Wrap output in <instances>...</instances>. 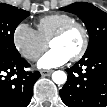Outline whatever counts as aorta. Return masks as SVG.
I'll return each instance as SVG.
<instances>
[{
	"label": "aorta",
	"instance_id": "1",
	"mask_svg": "<svg viewBox=\"0 0 107 107\" xmlns=\"http://www.w3.org/2000/svg\"><path fill=\"white\" fill-rule=\"evenodd\" d=\"M52 80L56 84L61 85V84H64L67 81V75L64 71L58 70V71L53 72Z\"/></svg>",
	"mask_w": 107,
	"mask_h": 107
}]
</instances>
